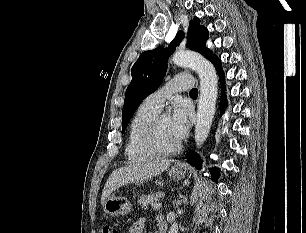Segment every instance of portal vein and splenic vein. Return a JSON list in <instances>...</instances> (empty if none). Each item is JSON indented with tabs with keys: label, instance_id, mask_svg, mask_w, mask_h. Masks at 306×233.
<instances>
[{
	"label": "portal vein and splenic vein",
	"instance_id": "obj_1",
	"mask_svg": "<svg viewBox=\"0 0 306 233\" xmlns=\"http://www.w3.org/2000/svg\"><path fill=\"white\" fill-rule=\"evenodd\" d=\"M160 207H161V203L156 202V203L152 204L153 209H159Z\"/></svg>",
	"mask_w": 306,
	"mask_h": 233
}]
</instances>
